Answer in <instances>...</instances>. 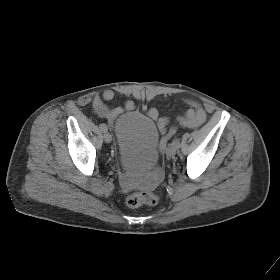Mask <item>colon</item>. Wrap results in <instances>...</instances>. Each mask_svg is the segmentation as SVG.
<instances>
[{"instance_id":"1","label":"colon","mask_w":280,"mask_h":280,"mask_svg":"<svg viewBox=\"0 0 280 280\" xmlns=\"http://www.w3.org/2000/svg\"><path fill=\"white\" fill-rule=\"evenodd\" d=\"M158 201L159 196L153 191L131 193L125 199L126 205L131 208L141 205H156Z\"/></svg>"}]
</instances>
